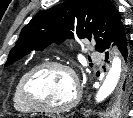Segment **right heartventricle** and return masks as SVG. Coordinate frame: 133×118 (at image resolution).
I'll use <instances>...</instances> for the list:
<instances>
[{
  "mask_svg": "<svg viewBox=\"0 0 133 118\" xmlns=\"http://www.w3.org/2000/svg\"><path fill=\"white\" fill-rule=\"evenodd\" d=\"M40 63H35L31 66H29L28 68H26L21 75L19 76L15 86H14V90H13V105L14 108L17 112L21 113V114H29L31 113L33 110H31L28 105L24 102L23 97H22V92H21V85H22V81L24 79V77L26 76V74L33 69L34 67H36L37 65H39Z\"/></svg>",
  "mask_w": 133,
  "mask_h": 118,
  "instance_id": "e07e8e85",
  "label": "right heart ventricle"
}]
</instances>
